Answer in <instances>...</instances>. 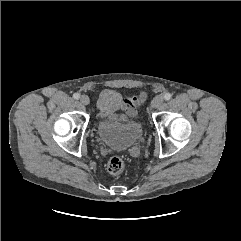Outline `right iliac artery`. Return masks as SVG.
<instances>
[{"label": "right iliac artery", "mask_w": 241, "mask_h": 241, "mask_svg": "<svg viewBox=\"0 0 241 241\" xmlns=\"http://www.w3.org/2000/svg\"><path fill=\"white\" fill-rule=\"evenodd\" d=\"M73 98H74V99H79V98H80L79 93H75V94L73 95Z\"/></svg>", "instance_id": "1"}]
</instances>
